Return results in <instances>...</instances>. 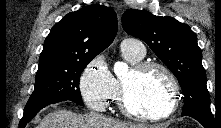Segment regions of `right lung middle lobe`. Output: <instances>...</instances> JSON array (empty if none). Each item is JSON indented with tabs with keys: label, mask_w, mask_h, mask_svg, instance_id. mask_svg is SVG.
I'll return each mask as SVG.
<instances>
[{
	"label": "right lung middle lobe",
	"mask_w": 221,
	"mask_h": 128,
	"mask_svg": "<svg viewBox=\"0 0 221 128\" xmlns=\"http://www.w3.org/2000/svg\"><path fill=\"white\" fill-rule=\"evenodd\" d=\"M93 58L74 61L62 67L38 70L34 91L25 111L46 103L70 100L83 105L79 89L81 72Z\"/></svg>",
	"instance_id": "right-lung-middle-lobe-1"
}]
</instances>
